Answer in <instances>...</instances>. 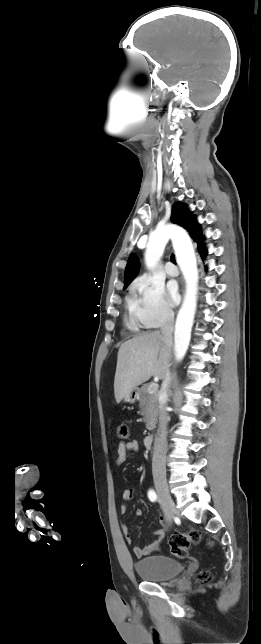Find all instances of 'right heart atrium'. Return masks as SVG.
<instances>
[{"mask_svg":"<svg viewBox=\"0 0 261 644\" xmlns=\"http://www.w3.org/2000/svg\"><path fill=\"white\" fill-rule=\"evenodd\" d=\"M132 290L134 314L141 325L157 328L172 322L174 314L161 284L141 276L134 281Z\"/></svg>","mask_w":261,"mask_h":644,"instance_id":"right-heart-atrium-1","label":"right heart atrium"}]
</instances>
